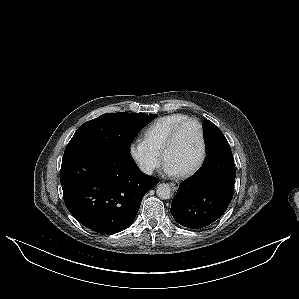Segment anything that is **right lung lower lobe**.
<instances>
[{"label": "right lung lower lobe", "instance_id": "obj_1", "mask_svg": "<svg viewBox=\"0 0 299 299\" xmlns=\"http://www.w3.org/2000/svg\"><path fill=\"white\" fill-rule=\"evenodd\" d=\"M159 181L142 174L130 156L91 145L67 147L60 171L67 209L85 227L102 234L128 228L143 196Z\"/></svg>", "mask_w": 299, "mask_h": 299}]
</instances>
